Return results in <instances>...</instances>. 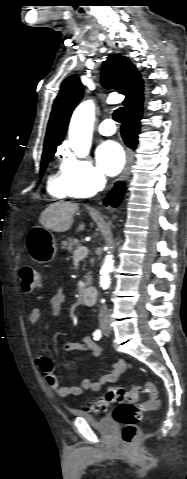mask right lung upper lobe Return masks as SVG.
Returning <instances> with one entry per match:
<instances>
[{
  "label": "right lung upper lobe",
  "mask_w": 187,
  "mask_h": 479,
  "mask_svg": "<svg viewBox=\"0 0 187 479\" xmlns=\"http://www.w3.org/2000/svg\"><path fill=\"white\" fill-rule=\"evenodd\" d=\"M102 83L106 87L116 88L124 94L125 110L143 104V81L136 67L128 58L120 54L110 56L102 68ZM83 97V86L79 77H68L53 105L44 143V152L56 150L67 130L72 111Z\"/></svg>",
  "instance_id": "1"
}]
</instances>
